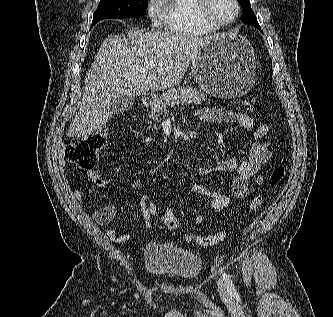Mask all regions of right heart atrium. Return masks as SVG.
<instances>
[{
    "mask_svg": "<svg viewBox=\"0 0 333 317\" xmlns=\"http://www.w3.org/2000/svg\"><path fill=\"white\" fill-rule=\"evenodd\" d=\"M162 0H148L147 14L155 27L163 25V15L161 11Z\"/></svg>",
    "mask_w": 333,
    "mask_h": 317,
    "instance_id": "obj_1",
    "label": "right heart atrium"
}]
</instances>
